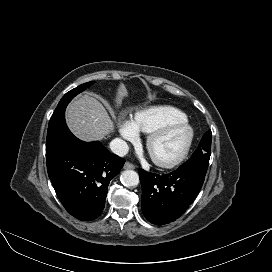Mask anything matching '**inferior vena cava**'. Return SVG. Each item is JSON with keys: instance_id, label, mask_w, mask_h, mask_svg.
<instances>
[{"instance_id": "obj_1", "label": "inferior vena cava", "mask_w": 272, "mask_h": 272, "mask_svg": "<svg viewBox=\"0 0 272 272\" xmlns=\"http://www.w3.org/2000/svg\"><path fill=\"white\" fill-rule=\"evenodd\" d=\"M110 149L114 154L120 157L125 156L129 151L127 143L119 138H115L110 142Z\"/></svg>"}]
</instances>
